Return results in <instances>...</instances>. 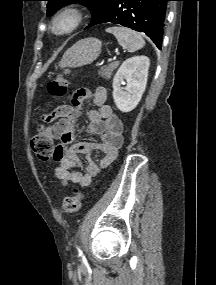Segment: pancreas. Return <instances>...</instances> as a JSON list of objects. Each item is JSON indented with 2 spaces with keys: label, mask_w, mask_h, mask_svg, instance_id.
<instances>
[{
  "label": "pancreas",
  "mask_w": 216,
  "mask_h": 285,
  "mask_svg": "<svg viewBox=\"0 0 216 285\" xmlns=\"http://www.w3.org/2000/svg\"><path fill=\"white\" fill-rule=\"evenodd\" d=\"M120 62H112L107 66L101 67V69L98 71V75L101 76L104 79H110L111 76L113 75V71L117 69L119 66Z\"/></svg>",
  "instance_id": "cf45deb5"
}]
</instances>
